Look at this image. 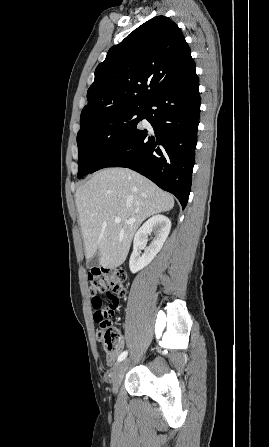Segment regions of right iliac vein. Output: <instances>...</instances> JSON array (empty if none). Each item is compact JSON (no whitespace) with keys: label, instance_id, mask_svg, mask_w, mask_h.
Returning <instances> with one entry per match:
<instances>
[{"label":"right iliac vein","instance_id":"obj_1","mask_svg":"<svg viewBox=\"0 0 269 447\" xmlns=\"http://www.w3.org/2000/svg\"><path fill=\"white\" fill-rule=\"evenodd\" d=\"M127 364H128V360L122 361L113 370V374L111 377L113 393H117L119 385H120V383L124 377V374L126 372Z\"/></svg>","mask_w":269,"mask_h":447}]
</instances>
